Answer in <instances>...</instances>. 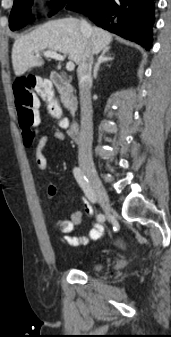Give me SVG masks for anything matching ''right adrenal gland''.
Here are the masks:
<instances>
[{
    "label": "right adrenal gland",
    "mask_w": 171,
    "mask_h": 337,
    "mask_svg": "<svg viewBox=\"0 0 171 337\" xmlns=\"http://www.w3.org/2000/svg\"><path fill=\"white\" fill-rule=\"evenodd\" d=\"M109 51V48H105L103 49L101 55L99 56L98 58V61L97 63L95 64L94 66V70H93V77L96 79L97 77V73H98V70L100 68V65L102 63H105V62H108V61H112L114 58L113 57H108L106 56V53Z\"/></svg>",
    "instance_id": "right-adrenal-gland-1"
}]
</instances>
